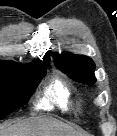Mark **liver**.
<instances>
[{
  "label": "liver",
  "instance_id": "liver-1",
  "mask_svg": "<svg viewBox=\"0 0 117 136\" xmlns=\"http://www.w3.org/2000/svg\"><path fill=\"white\" fill-rule=\"evenodd\" d=\"M0 136H85L73 128L46 118H32L0 128Z\"/></svg>",
  "mask_w": 117,
  "mask_h": 136
}]
</instances>
